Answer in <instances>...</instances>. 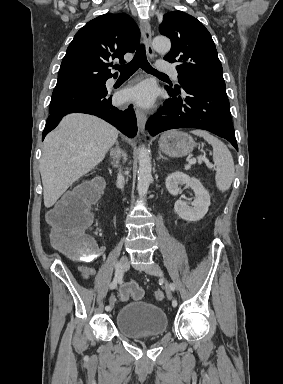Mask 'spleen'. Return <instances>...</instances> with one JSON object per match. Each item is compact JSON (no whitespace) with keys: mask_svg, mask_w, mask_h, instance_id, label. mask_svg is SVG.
<instances>
[{"mask_svg":"<svg viewBox=\"0 0 283 384\" xmlns=\"http://www.w3.org/2000/svg\"><path fill=\"white\" fill-rule=\"evenodd\" d=\"M191 134L195 136H201L208 144H211L213 148V162L216 166L215 182L218 190L226 192L229 190L235 176V166L231 152H229L227 146L220 142L218 138H214L208 132L203 130H194Z\"/></svg>","mask_w":283,"mask_h":384,"instance_id":"obj_1","label":"spleen"}]
</instances>
